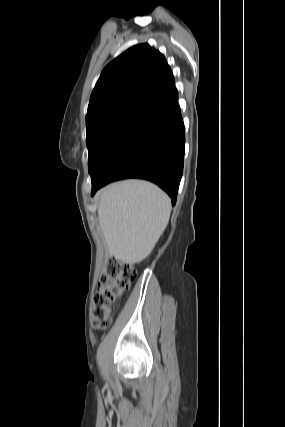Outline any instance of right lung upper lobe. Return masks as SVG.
<instances>
[{
	"label": "right lung upper lobe",
	"mask_w": 285,
	"mask_h": 427,
	"mask_svg": "<svg viewBox=\"0 0 285 427\" xmlns=\"http://www.w3.org/2000/svg\"><path fill=\"white\" fill-rule=\"evenodd\" d=\"M175 86L164 56L149 44L133 46L110 62L92 92L86 124L123 109L145 110Z\"/></svg>",
	"instance_id": "cb5924a9"
}]
</instances>
